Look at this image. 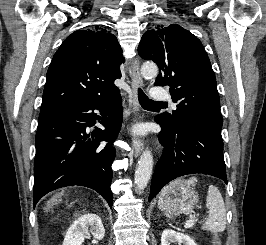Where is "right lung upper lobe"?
I'll list each match as a JSON object with an SVG mask.
<instances>
[{
  "mask_svg": "<svg viewBox=\"0 0 266 245\" xmlns=\"http://www.w3.org/2000/svg\"><path fill=\"white\" fill-rule=\"evenodd\" d=\"M122 49L110 32L77 30L62 43L47 72L39 120L67 107L111 96L119 89Z\"/></svg>",
  "mask_w": 266,
  "mask_h": 245,
  "instance_id": "1",
  "label": "right lung upper lobe"
}]
</instances>
